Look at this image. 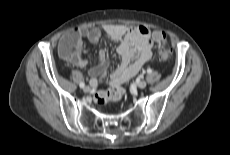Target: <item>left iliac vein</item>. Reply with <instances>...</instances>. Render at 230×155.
Returning <instances> with one entry per match:
<instances>
[{"label": "left iliac vein", "instance_id": "1", "mask_svg": "<svg viewBox=\"0 0 230 155\" xmlns=\"http://www.w3.org/2000/svg\"><path fill=\"white\" fill-rule=\"evenodd\" d=\"M136 86L140 89H144L147 86V83L144 80H140V81L136 82Z\"/></svg>", "mask_w": 230, "mask_h": 155}]
</instances>
